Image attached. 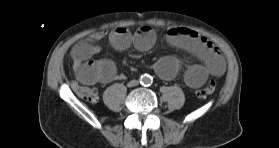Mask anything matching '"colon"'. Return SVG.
I'll return each mask as SVG.
<instances>
[{"label": "colon", "instance_id": "1", "mask_svg": "<svg viewBox=\"0 0 279 148\" xmlns=\"http://www.w3.org/2000/svg\"><path fill=\"white\" fill-rule=\"evenodd\" d=\"M216 84L214 81H209L204 87L198 90L197 95L200 98H205L214 93ZM75 90L77 94L84 100L89 102H96L98 99L97 91L87 86L76 85Z\"/></svg>", "mask_w": 279, "mask_h": 148}]
</instances>
